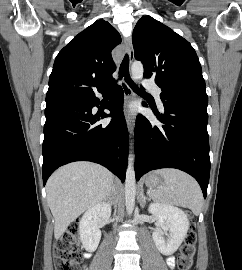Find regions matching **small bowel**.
Masks as SVG:
<instances>
[{
	"instance_id": "obj_1",
	"label": "small bowel",
	"mask_w": 242,
	"mask_h": 270,
	"mask_svg": "<svg viewBox=\"0 0 242 270\" xmlns=\"http://www.w3.org/2000/svg\"><path fill=\"white\" fill-rule=\"evenodd\" d=\"M85 256H89V254H85ZM167 263H168L169 266H173V264H174L173 257L168 258Z\"/></svg>"
}]
</instances>
